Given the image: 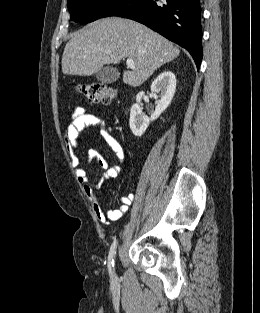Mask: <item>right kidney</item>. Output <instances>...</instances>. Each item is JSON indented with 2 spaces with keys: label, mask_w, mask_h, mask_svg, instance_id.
<instances>
[{
  "label": "right kidney",
  "mask_w": 260,
  "mask_h": 313,
  "mask_svg": "<svg viewBox=\"0 0 260 313\" xmlns=\"http://www.w3.org/2000/svg\"><path fill=\"white\" fill-rule=\"evenodd\" d=\"M151 91L159 94L155 111L151 117H147L142 112L140 101L144 96V92H140L137 97V103L131 107L129 125L135 136L141 137L146 131L151 121L157 119L170 105L176 91V77L172 71L162 72L152 83Z\"/></svg>",
  "instance_id": "right-kidney-1"
}]
</instances>
